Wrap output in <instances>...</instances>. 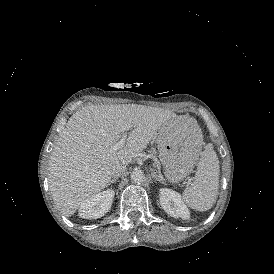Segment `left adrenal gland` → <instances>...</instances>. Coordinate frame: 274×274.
Masks as SVG:
<instances>
[{"mask_svg":"<svg viewBox=\"0 0 274 274\" xmlns=\"http://www.w3.org/2000/svg\"><path fill=\"white\" fill-rule=\"evenodd\" d=\"M151 177L160 183H164L162 179L158 178L157 174L153 170H151Z\"/></svg>","mask_w":274,"mask_h":274,"instance_id":"a2214340","label":"left adrenal gland"}]
</instances>
